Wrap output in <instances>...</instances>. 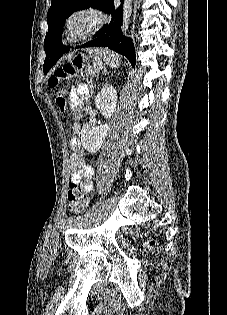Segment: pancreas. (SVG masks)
<instances>
[{
	"mask_svg": "<svg viewBox=\"0 0 227 315\" xmlns=\"http://www.w3.org/2000/svg\"><path fill=\"white\" fill-rule=\"evenodd\" d=\"M99 69H98V65H94V66H89L87 68V73L92 75V77H95L96 74L98 73Z\"/></svg>",
	"mask_w": 227,
	"mask_h": 315,
	"instance_id": "obj_1",
	"label": "pancreas"
}]
</instances>
